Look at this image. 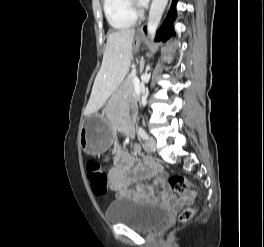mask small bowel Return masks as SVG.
<instances>
[{
  "mask_svg": "<svg viewBox=\"0 0 264 247\" xmlns=\"http://www.w3.org/2000/svg\"><path fill=\"white\" fill-rule=\"evenodd\" d=\"M123 130L127 136L132 135V123H127ZM133 150L136 154L142 155L139 144H135ZM111 156L116 164L109 171V186L116 192L118 199L168 201L172 198L167 185V174L152 158L144 157L142 163L134 165L131 154L120 148H114ZM143 180H154L159 189L142 183Z\"/></svg>",
  "mask_w": 264,
  "mask_h": 247,
  "instance_id": "1",
  "label": "small bowel"
}]
</instances>
